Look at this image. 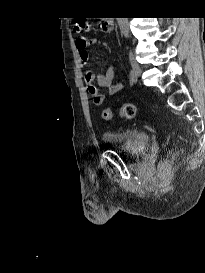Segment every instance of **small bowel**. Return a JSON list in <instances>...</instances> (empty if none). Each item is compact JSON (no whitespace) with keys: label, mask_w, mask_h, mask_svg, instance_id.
<instances>
[{"label":"small bowel","mask_w":205,"mask_h":273,"mask_svg":"<svg viewBox=\"0 0 205 273\" xmlns=\"http://www.w3.org/2000/svg\"><path fill=\"white\" fill-rule=\"evenodd\" d=\"M96 43L97 40L95 38H86L83 36L76 38V49L82 64H86L89 61L90 54L87 49L88 46ZM114 75L115 71L113 66H108L102 74H95L91 71L85 73L84 79L88 85V91L91 94L92 101L95 105H102L106 99V94L102 93L99 88H105L108 95H115L121 91L122 85L114 82Z\"/></svg>","instance_id":"c3829d8e"}]
</instances>
